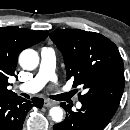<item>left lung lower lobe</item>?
I'll return each mask as SVG.
<instances>
[{
	"label": "left lung lower lobe",
	"instance_id": "left-lung-lower-lobe-1",
	"mask_svg": "<svg viewBox=\"0 0 130 130\" xmlns=\"http://www.w3.org/2000/svg\"><path fill=\"white\" fill-rule=\"evenodd\" d=\"M82 107L73 112L65 102L61 106L66 110V118L62 123L54 125L53 130H103L116 110L112 106L98 100H80Z\"/></svg>",
	"mask_w": 130,
	"mask_h": 130
}]
</instances>
